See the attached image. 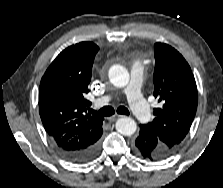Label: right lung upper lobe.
<instances>
[{"instance_id":"right-lung-upper-lobe-1","label":"right lung upper lobe","mask_w":223,"mask_h":188,"mask_svg":"<svg viewBox=\"0 0 223 188\" xmlns=\"http://www.w3.org/2000/svg\"><path fill=\"white\" fill-rule=\"evenodd\" d=\"M99 47L81 42L63 50L40 82L39 113L55 146L81 148L99 137L103 118L86 115L85 99Z\"/></svg>"}]
</instances>
